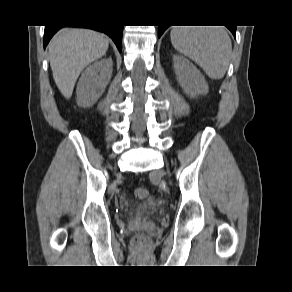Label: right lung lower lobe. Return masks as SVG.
<instances>
[{
	"mask_svg": "<svg viewBox=\"0 0 292 292\" xmlns=\"http://www.w3.org/2000/svg\"><path fill=\"white\" fill-rule=\"evenodd\" d=\"M62 26H45L44 32V47L47 46L51 37L61 28ZM91 28L97 31H101L109 35L112 40L115 42L119 52H121V42H122V26H113V25H91V26H81Z\"/></svg>",
	"mask_w": 292,
	"mask_h": 292,
	"instance_id": "right-lung-lower-lobe-1",
	"label": "right lung lower lobe"
}]
</instances>
